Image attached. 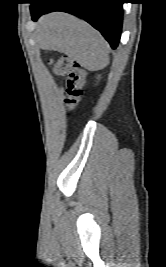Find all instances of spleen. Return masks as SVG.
<instances>
[{"instance_id": "1", "label": "spleen", "mask_w": 166, "mask_h": 267, "mask_svg": "<svg viewBox=\"0 0 166 267\" xmlns=\"http://www.w3.org/2000/svg\"><path fill=\"white\" fill-rule=\"evenodd\" d=\"M41 47L67 54L90 71L101 70L109 63L104 38L86 22L66 13L45 16L39 25Z\"/></svg>"}]
</instances>
